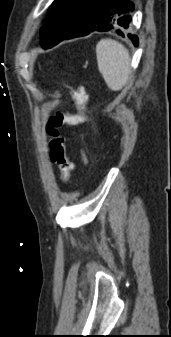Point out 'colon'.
<instances>
[{
    "instance_id": "5ec220e1",
    "label": "colon",
    "mask_w": 171,
    "mask_h": 337,
    "mask_svg": "<svg viewBox=\"0 0 171 337\" xmlns=\"http://www.w3.org/2000/svg\"><path fill=\"white\" fill-rule=\"evenodd\" d=\"M68 88L74 109L67 111L56 110L49 117L46 125V133L49 136L50 158L58 166L60 179L64 183L70 180L71 172L74 170V163L68 153L66 139L60 134L59 129L63 126L83 124L88 101V95L83 85H68Z\"/></svg>"
}]
</instances>
